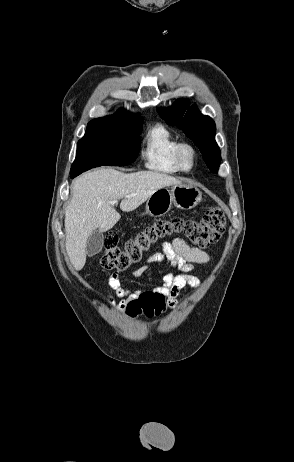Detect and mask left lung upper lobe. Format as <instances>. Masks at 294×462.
<instances>
[{
  "label": "left lung upper lobe",
  "mask_w": 294,
  "mask_h": 462,
  "mask_svg": "<svg viewBox=\"0 0 294 462\" xmlns=\"http://www.w3.org/2000/svg\"><path fill=\"white\" fill-rule=\"evenodd\" d=\"M159 115L169 125L182 129L199 147L207 166L212 172H218L221 152L215 142L216 126L209 117L202 115L194 104L187 100H177L169 108H157Z\"/></svg>",
  "instance_id": "1"
}]
</instances>
